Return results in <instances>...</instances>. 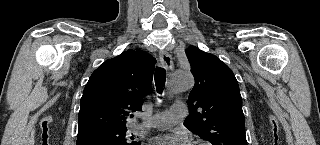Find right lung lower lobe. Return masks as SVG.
Here are the masks:
<instances>
[{"instance_id":"obj_1","label":"right lung lower lobe","mask_w":320,"mask_h":145,"mask_svg":"<svg viewBox=\"0 0 320 145\" xmlns=\"http://www.w3.org/2000/svg\"><path fill=\"white\" fill-rule=\"evenodd\" d=\"M77 145H108V144L98 140H86V141L77 142Z\"/></svg>"}]
</instances>
